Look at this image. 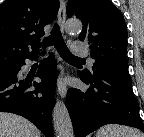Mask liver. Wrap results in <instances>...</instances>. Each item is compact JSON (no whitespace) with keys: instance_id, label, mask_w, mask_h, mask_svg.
Returning <instances> with one entry per match:
<instances>
[{"instance_id":"1","label":"liver","mask_w":144,"mask_h":137,"mask_svg":"<svg viewBox=\"0 0 144 137\" xmlns=\"http://www.w3.org/2000/svg\"><path fill=\"white\" fill-rule=\"evenodd\" d=\"M40 131L27 119L0 112V137H40Z\"/></svg>"}]
</instances>
